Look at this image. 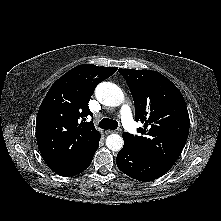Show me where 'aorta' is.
<instances>
[{
	"mask_svg": "<svg viewBox=\"0 0 221 221\" xmlns=\"http://www.w3.org/2000/svg\"><path fill=\"white\" fill-rule=\"evenodd\" d=\"M95 96L105 106H119L124 101L122 90L111 82L100 83L95 89ZM106 146L111 151H120L123 147V138L118 134H110L106 139Z\"/></svg>",
	"mask_w": 221,
	"mask_h": 221,
	"instance_id": "aorta-1",
	"label": "aorta"
}]
</instances>
